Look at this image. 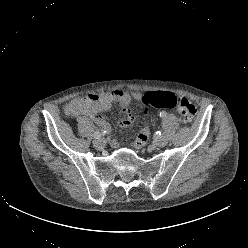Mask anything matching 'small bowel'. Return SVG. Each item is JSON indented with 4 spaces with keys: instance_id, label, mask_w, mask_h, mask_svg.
<instances>
[{
    "instance_id": "obj_1",
    "label": "small bowel",
    "mask_w": 248,
    "mask_h": 248,
    "mask_svg": "<svg viewBox=\"0 0 248 248\" xmlns=\"http://www.w3.org/2000/svg\"><path fill=\"white\" fill-rule=\"evenodd\" d=\"M142 99V93L128 92L126 90L92 93L72 100L66 105L65 111L71 117H78L80 115L88 116L93 119L98 126L108 132L110 125L101 115L102 112L107 111L113 103H118L121 107V113L124 116V119L120 122V125L121 127L127 128L130 127L135 120V117L128 108V105L132 100L139 101ZM111 146L113 148H117L119 143L116 140H112Z\"/></svg>"
}]
</instances>
